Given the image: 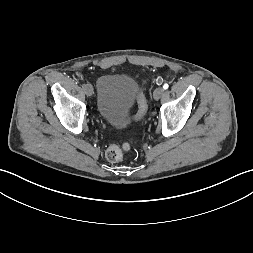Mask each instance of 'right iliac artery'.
Instances as JSON below:
<instances>
[{
	"label": "right iliac artery",
	"mask_w": 253,
	"mask_h": 253,
	"mask_svg": "<svg viewBox=\"0 0 253 253\" xmlns=\"http://www.w3.org/2000/svg\"><path fill=\"white\" fill-rule=\"evenodd\" d=\"M86 84H82V87L85 88Z\"/></svg>",
	"instance_id": "right-iliac-artery-1"
}]
</instances>
